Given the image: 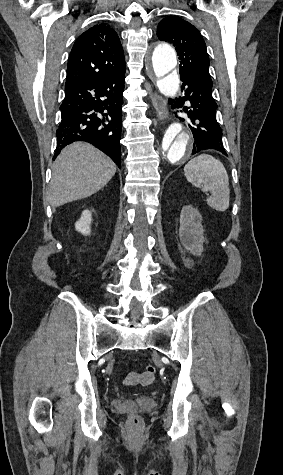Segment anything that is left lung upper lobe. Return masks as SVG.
Segmentation results:
<instances>
[{
	"label": "left lung upper lobe",
	"instance_id": "left-lung-upper-lobe-1",
	"mask_svg": "<svg viewBox=\"0 0 283 475\" xmlns=\"http://www.w3.org/2000/svg\"><path fill=\"white\" fill-rule=\"evenodd\" d=\"M157 36L175 46L180 59V75L191 74L211 80L205 42L192 24L177 16L166 17L158 24Z\"/></svg>",
	"mask_w": 283,
	"mask_h": 475
}]
</instances>
